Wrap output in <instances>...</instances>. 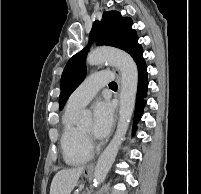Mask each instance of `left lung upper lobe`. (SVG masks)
Segmentation results:
<instances>
[{
  "label": "left lung upper lobe",
  "mask_w": 201,
  "mask_h": 194,
  "mask_svg": "<svg viewBox=\"0 0 201 194\" xmlns=\"http://www.w3.org/2000/svg\"><path fill=\"white\" fill-rule=\"evenodd\" d=\"M97 45H107L120 48L131 53L138 44V37L132 29V20L122 17L118 11H105L101 22L96 21L90 32L89 46L95 41ZM89 46L74 55L63 71L59 96V109L62 110L68 97L79 86L86 75V56Z\"/></svg>",
  "instance_id": "1"
}]
</instances>
